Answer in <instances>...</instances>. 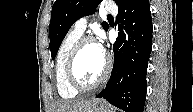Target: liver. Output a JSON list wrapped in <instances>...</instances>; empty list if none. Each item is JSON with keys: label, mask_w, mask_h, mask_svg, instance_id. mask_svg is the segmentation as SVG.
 Instances as JSON below:
<instances>
[{"label": "liver", "mask_w": 193, "mask_h": 112, "mask_svg": "<svg viewBox=\"0 0 193 112\" xmlns=\"http://www.w3.org/2000/svg\"><path fill=\"white\" fill-rule=\"evenodd\" d=\"M98 99H77L60 101L55 105V112H89Z\"/></svg>", "instance_id": "1"}]
</instances>
